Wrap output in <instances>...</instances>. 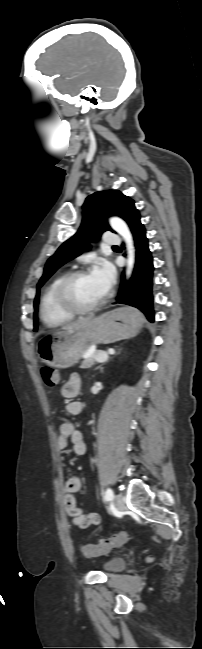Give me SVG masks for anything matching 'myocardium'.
Returning a JSON list of instances; mask_svg holds the SVG:
<instances>
[{"label": "myocardium", "mask_w": 202, "mask_h": 649, "mask_svg": "<svg viewBox=\"0 0 202 649\" xmlns=\"http://www.w3.org/2000/svg\"><path fill=\"white\" fill-rule=\"evenodd\" d=\"M86 274H88V270L85 268L75 270L67 274L57 288V299L60 305L73 315L89 314L103 306L108 298V294H105L102 299L89 306H80L74 301L72 296L73 286L78 278Z\"/></svg>", "instance_id": "1"}]
</instances>
